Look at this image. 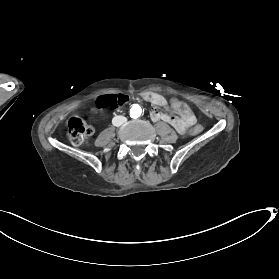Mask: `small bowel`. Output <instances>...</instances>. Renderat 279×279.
<instances>
[{
	"instance_id": "small-bowel-1",
	"label": "small bowel",
	"mask_w": 279,
	"mask_h": 279,
	"mask_svg": "<svg viewBox=\"0 0 279 279\" xmlns=\"http://www.w3.org/2000/svg\"><path fill=\"white\" fill-rule=\"evenodd\" d=\"M143 97L144 99L152 103L155 107H162V108L171 107L174 110L179 102L177 99H171L170 101H168L161 94L154 93V92L145 93ZM150 116L154 121L161 120L170 124L181 135L185 134L188 131V129L192 127L196 122V119L193 115L189 117L179 118L174 114L169 115L160 112L157 108H153L151 110Z\"/></svg>"
}]
</instances>
